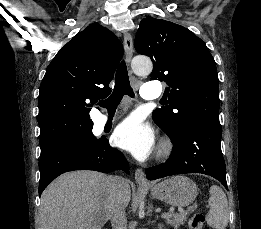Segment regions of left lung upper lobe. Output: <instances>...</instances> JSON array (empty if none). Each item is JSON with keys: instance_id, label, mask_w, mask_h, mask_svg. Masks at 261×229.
Masks as SVG:
<instances>
[{"instance_id": "obj_1", "label": "left lung upper lobe", "mask_w": 261, "mask_h": 229, "mask_svg": "<svg viewBox=\"0 0 261 229\" xmlns=\"http://www.w3.org/2000/svg\"><path fill=\"white\" fill-rule=\"evenodd\" d=\"M134 46L153 61L151 80L168 85L170 106L157 108L152 118L171 139H179L197 121L220 127L217 68L200 38L183 26L146 17Z\"/></svg>"}]
</instances>
